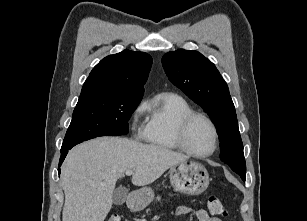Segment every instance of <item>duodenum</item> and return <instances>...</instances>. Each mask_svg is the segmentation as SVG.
<instances>
[{
	"label": "duodenum",
	"instance_id": "1",
	"mask_svg": "<svg viewBox=\"0 0 307 221\" xmlns=\"http://www.w3.org/2000/svg\"><path fill=\"white\" fill-rule=\"evenodd\" d=\"M139 204H140V198L137 195L132 194L131 197H130V206L133 209H138Z\"/></svg>",
	"mask_w": 307,
	"mask_h": 221
}]
</instances>
